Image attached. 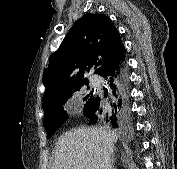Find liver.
<instances>
[{"label":"liver","instance_id":"liver-1","mask_svg":"<svg viewBox=\"0 0 177 169\" xmlns=\"http://www.w3.org/2000/svg\"><path fill=\"white\" fill-rule=\"evenodd\" d=\"M105 131L113 143L118 140L116 132ZM104 165L103 138L99 129L79 128L58 139L51 169H104Z\"/></svg>","mask_w":177,"mask_h":169}]
</instances>
